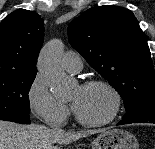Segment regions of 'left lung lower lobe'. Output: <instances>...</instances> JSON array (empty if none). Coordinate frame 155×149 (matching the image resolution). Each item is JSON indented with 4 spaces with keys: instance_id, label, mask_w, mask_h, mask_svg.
Here are the masks:
<instances>
[{
    "instance_id": "left-lung-lower-lobe-1",
    "label": "left lung lower lobe",
    "mask_w": 155,
    "mask_h": 149,
    "mask_svg": "<svg viewBox=\"0 0 155 149\" xmlns=\"http://www.w3.org/2000/svg\"><path fill=\"white\" fill-rule=\"evenodd\" d=\"M131 123H154L155 124V98H152L145 106L133 112L126 113L117 125Z\"/></svg>"
}]
</instances>
